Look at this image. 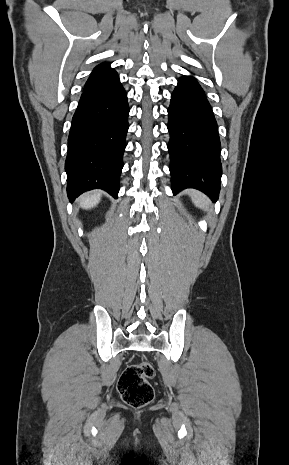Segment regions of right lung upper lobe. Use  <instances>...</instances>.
I'll return each mask as SVG.
<instances>
[{
    "label": "right lung upper lobe",
    "instance_id": "right-lung-upper-lobe-1",
    "mask_svg": "<svg viewBox=\"0 0 289 465\" xmlns=\"http://www.w3.org/2000/svg\"><path fill=\"white\" fill-rule=\"evenodd\" d=\"M116 78H118V75L116 71L110 67L109 63H101L94 68L85 84L84 89L107 85L114 81Z\"/></svg>",
    "mask_w": 289,
    "mask_h": 465
}]
</instances>
